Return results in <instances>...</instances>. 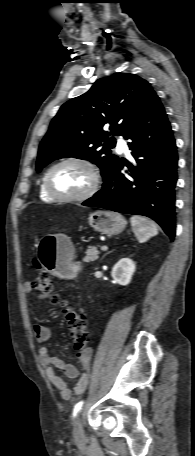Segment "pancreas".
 <instances>
[{"mask_svg":"<svg viewBox=\"0 0 195 456\" xmlns=\"http://www.w3.org/2000/svg\"><path fill=\"white\" fill-rule=\"evenodd\" d=\"M85 254H86V256L83 259L85 262H93L99 258V251L96 246L88 247Z\"/></svg>","mask_w":195,"mask_h":456,"instance_id":"1","label":"pancreas"}]
</instances>
